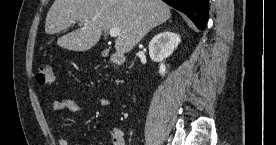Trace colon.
Returning <instances> with one entry per match:
<instances>
[{"instance_id": "obj_1", "label": "colon", "mask_w": 276, "mask_h": 145, "mask_svg": "<svg viewBox=\"0 0 276 145\" xmlns=\"http://www.w3.org/2000/svg\"><path fill=\"white\" fill-rule=\"evenodd\" d=\"M37 82L41 85H52L56 81V74L51 65L39 67L36 74Z\"/></svg>"}]
</instances>
